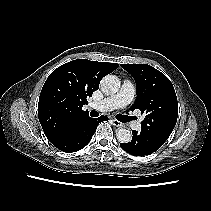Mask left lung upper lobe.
Listing matches in <instances>:
<instances>
[{
	"mask_svg": "<svg viewBox=\"0 0 211 211\" xmlns=\"http://www.w3.org/2000/svg\"><path fill=\"white\" fill-rule=\"evenodd\" d=\"M130 73L137 88V98L131 110L145 114L141 132L163 143L172 133L178 116V103L171 81L147 64H121Z\"/></svg>",
	"mask_w": 211,
	"mask_h": 211,
	"instance_id": "obj_1",
	"label": "left lung upper lobe"
}]
</instances>
